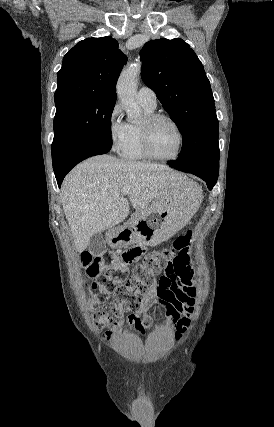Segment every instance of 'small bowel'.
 I'll list each match as a JSON object with an SVG mask.
<instances>
[{
  "instance_id": "1",
  "label": "small bowel",
  "mask_w": 274,
  "mask_h": 427,
  "mask_svg": "<svg viewBox=\"0 0 274 427\" xmlns=\"http://www.w3.org/2000/svg\"><path fill=\"white\" fill-rule=\"evenodd\" d=\"M177 251L181 253H171L168 259L178 263L170 264L164 275L152 282L135 313L127 318L126 323L141 337L153 325L148 312L156 304L167 306L178 317L179 331L185 330L190 324L197 293L193 268L190 265V246L178 245ZM155 318L164 319L165 313L156 312Z\"/></svg>"
}]
</instances>
